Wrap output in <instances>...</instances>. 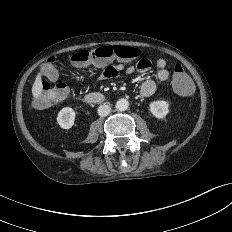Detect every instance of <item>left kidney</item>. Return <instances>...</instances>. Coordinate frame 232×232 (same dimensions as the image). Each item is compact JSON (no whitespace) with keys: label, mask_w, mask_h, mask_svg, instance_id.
I'll return each mask as SVG.
<instances>
[{"label":"left kidney","mask_w":232,"mask_h":232,"mask_svg":"<svg viewBox=\"0 0 232 232\" xmlns=\"http://www.w3.org/2000/svg\"><path fill=\"white\" fill-rule=\"evenodd\" d=\"M149 106L150 112L158 119H163L169 112V104L163 100L153 101L149 104Z\"/></svg>","instance_id":"1"}]
</instances>
